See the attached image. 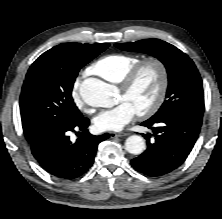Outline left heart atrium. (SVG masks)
Listing matches in <instances>:
<instances>
[{
  "instance_id": "left-heart-atrium-1",
  "label": "left heart atrium",
  "mask_w": 222,
  "mask_h": 219,
  "mask_svg": "<svg viewBox=\"0 0 222 219\" xmlns=\"http://www.w3.org/2000/svg\"><path fill=\"white\" fill-rule=\"evenodd\" d=\"M137 111L127 101L122 100L115 107L100 112L94 119L100 131H120L135 117Z\"/></svg>"
}]
</instances>
